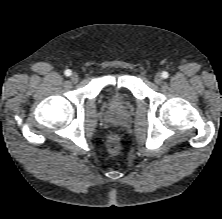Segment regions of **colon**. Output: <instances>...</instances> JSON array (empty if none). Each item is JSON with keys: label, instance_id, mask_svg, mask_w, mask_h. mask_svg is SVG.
<instances>
[{"label": "colon", "instance_id": "obj_1", "mask_svg": "<svg viewBox=\"0 0 222 219\" xmlns=\"http://www.w3.org/2000/svg\"><path fill=\"white\" fill-rule=\"evenodd\" d=\"M107 150L111 155H117L121 149V139L116 133L109 135L106 142Z\"/></svg>", "mask_w": 222, "mask_h": 219}]
</instances>
